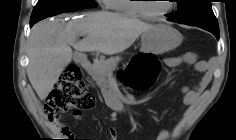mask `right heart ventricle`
I'll list each match as a JSON object with an SVG mask.
<instances>
[{
	"mask_svg": "<svg viewBox=\"0 0 236 140\" xmlns=\"http://www.w3.org/2000/svg\"><path fill=\"white\" fill-rule=\"evenodd\" d=\"M133 0H108L107 5L112 10L128 16H137V12L134 9Z\"/></svg>",
	"mask_w": 236,
	"mask_h": 140,
	"instance_id": "e07e8e85",
	"label": "right heart ventricle"
}]
</instances>
